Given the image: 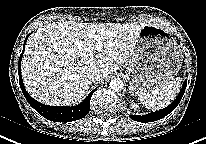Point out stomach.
Here are the masks:
<instances>
[{
    "mask_svg": "<svg viewBox=\"0 0 206 144\" xmlns=\"http://www.w3.org/2000/svg\"><path fill=\"white\" fill-rule=\"evenodd\" d=\"M181 50L164 28L146 24L139 32L126 72L130 93L138 96L161 87L178 73Z\"/></svg>",
    "mask_w": 206,
    "mask_h": 144,
    "instance_id": "1",
    "label": "stomach"
}]
</instances>
